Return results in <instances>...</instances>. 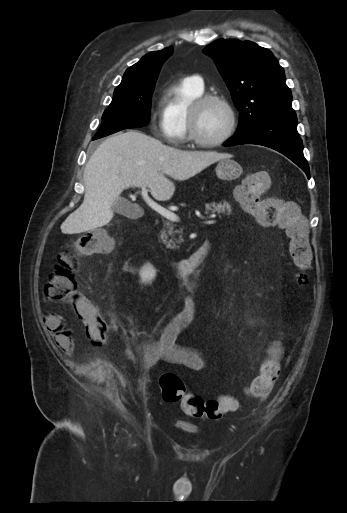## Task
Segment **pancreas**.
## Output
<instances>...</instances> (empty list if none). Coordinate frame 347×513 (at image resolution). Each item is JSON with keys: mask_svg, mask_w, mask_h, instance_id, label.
<instances>
[{"mask_svg": "<svg viewBox=\"0 0 347 513\" xmlns=\"http://www.w3.org/2000/svg\"><path fill=\"white\" fill-rule=\"evenodd\" d=\"M205 207H206V213L211 211L212 213L223 214L224 216H229L232 211L231 205L226 201H223L220 203H215V202L208 203L205 205ZM165 227L167 230H163L161 232L162 242L166 244L167 248H170V247L175 248V246H176L175 244H173V246H172V243H173L172 239L168 241V236H171L172 238H174L175 234L181 235L182 229L175 230L174 229L175 225H173L171 223H165Z\"/></svg>", "mask_w": 347, "mask_h": 513, "instance_id": "pancreas-1", "label": "pancreas"}]
</instances>
